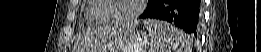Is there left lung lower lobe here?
I'll return each instance as SVG.
<instances>
[{
    "label": "left lung lower lobe",
    "instance_id": "obj_1",
    "mask_svg": "<svg viewBox=\"0 0 261 52\" xmlns=\"http://www.w3.org/2000/svg\"><path fill=\"white\" fill-rule=\"evenodd\" d=\"M201 8V0H153L140 18L165 20L192 37H197Z\"/></svg>",
    "mask_w": 261,
    "mask_h": 52
}]
</instances>
